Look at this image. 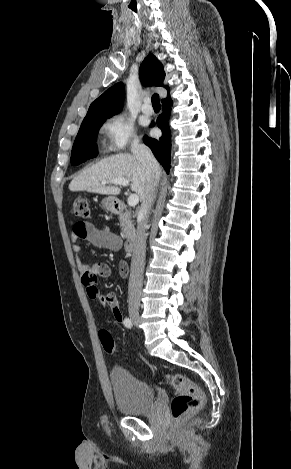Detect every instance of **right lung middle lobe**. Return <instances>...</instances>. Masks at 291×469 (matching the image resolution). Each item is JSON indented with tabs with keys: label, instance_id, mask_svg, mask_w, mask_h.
<instances>
[{
	"label": "right lung middle lobe",
	"instance_id": "1",
	"mask_svg": "<svg viewBox=\"0 0 291 469\" xmlns=\"http://www.w3.org/2000/svg\"><path fill=\"white\" fill-rule=\"evenodd\" d=\"M109 117L83 120L71 152L72 165H78L97 156L95 139L100 127Z\"/></svg>",
	"mask_w": 291,
	"mask_h": 469
}]
</instances>
